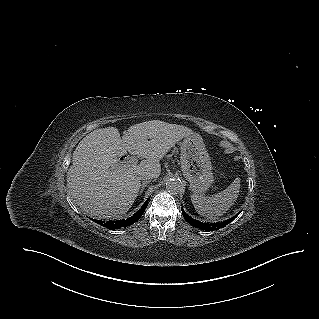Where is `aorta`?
Instances as JSON below:
<instances>
[{"label":"aorta","instance_id":"obj_1","mask_svg":"<svg viewBox=\"0 0 319 319\" xmlns=\"http://www.w3.org/2000/svg\"><path fill=\"white\" fill-rule=\"evenodd\" d=\"M166 188L169 192L177 194L183 190V183L177 178H170L166 181Z\"/></svg>","mask_w":319,"mask_h":319}]
</instances>
